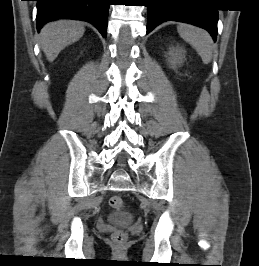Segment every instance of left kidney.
<instances>
[{"instance_id": "1", "label": "left kidney", "mask_w": 259, "mask_h": 266, "mask_svg": "<svg viewBox=\"0 0 259 266\" xmlns=\"http://www.w3.org/2000/svg\"><path fill=\"white\" fill-rule=\"evenodd\" d=\"M185 51L181 48H171L169 51V62L174 67L183 62Z\"/></svg>"}]
</instances>
